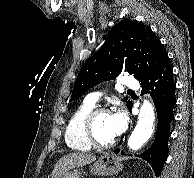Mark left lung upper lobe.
I'll list each match as a JSON object with an SVG mask.
<instances>
[{
  "instance_id": "obj_1",
  "label": "left lung upper lobe",
  "mask_w": 194,
  "mask_h": 178,
  "mask_svg": "<svg viewBox=\"0 0 194 178\" xmlns=\"http://www.w3.org/2000/svg\"><path fill=\"white\" fill-rule=\"evenodd\" d=\"M167 55L151 28L136 20H123L110 30L102 48L82 65L73 87L71 101L103 81L116 79L123 71L133 74L141 81ZM131 104L128 101L127 107Z\"/></svg>"
}]
</instances>
